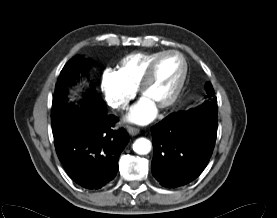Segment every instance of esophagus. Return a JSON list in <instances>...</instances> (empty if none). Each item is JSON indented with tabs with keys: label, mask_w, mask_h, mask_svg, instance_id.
<instances>
[{
	"label": "esophagus",
	"mask_w": 277,
	"mask_h": 218,
	"mask_svg": "<svg viewBox=\"0 0 277 218\" xmlns=\"http://www.w3.org/2000/svg\"><path fill=\"white\" fill-rule=\"evenodd\" d=\"M127 131L132 136H135V135L139 134V132H140V130L138 128L131 127V126L127 127Z\"/></svg>",
	"instance_id": "34e87169"
}]
</instances>
